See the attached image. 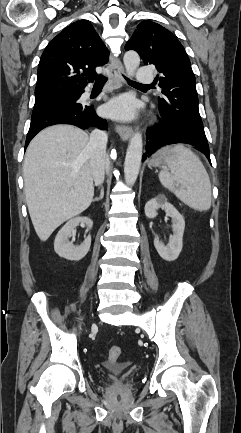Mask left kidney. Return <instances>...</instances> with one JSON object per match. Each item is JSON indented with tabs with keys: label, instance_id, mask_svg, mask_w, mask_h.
Here are the masks:
<instances>
[{
	"label": "left kidney",
	"instance_id": "left-kidney-1",
	"mask_svg": "<svg viewBox=\"0 0 241 433\" xmlns=\"http://www.w3.org/2000/svg\"><path fill=\"white\" fill-rule=\"evenodd\" d=\"M161 208L166 212V215L172 219L173 235L170 237L169 243L165 246L156 236L154 238V246L160 257L166 261H174L178 258L182 250L183 233L185 229V221L178 210L169 202L164 195L149 200L145 205V215L152 219L156 217V211Z\"/></svg>",
	"mask_w": 241,
	"mask_h": 433
}]
</instances>
